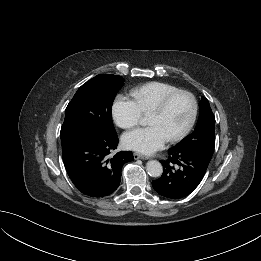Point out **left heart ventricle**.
I'll return each mask as SVG.
<instances>
[{"mask_svg":"<svg viewBox=\"0 0 261 261\" xmlns=\"http://www.w3.org/2000/svg\"><path fill=\"white\" fill-rule=\"evenodd\" d=\"M191 101L187 96L177 97L163 114H150L149 125L159 126L169 137L181 132L191 114Z\"/></svg>","mask_w":261,"mask_h":261,"instance_id":"left-heart-ventricle-1","label":"left heart ventricle"}]
</instances>
